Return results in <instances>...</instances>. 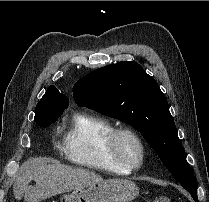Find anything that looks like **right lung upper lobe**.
Instances as JSON below:
<instances>
[{"mask_svg": "<svg viewBox=\"0 0 209 202\" xmlns=\"http://www.w3.org/2000/svg\"><path fill=\"white\" fill-rule=\"evenodd\" d=\"M45 102L57 108H67L69 105L68 98L64 94H61L53 85L47 89L39 104H43Z\"/></svg>", "mask_w": 209, "mask_h": 202, "instance_id": "obj_1", "label": "right lung upper lobe"}]
</instances>
